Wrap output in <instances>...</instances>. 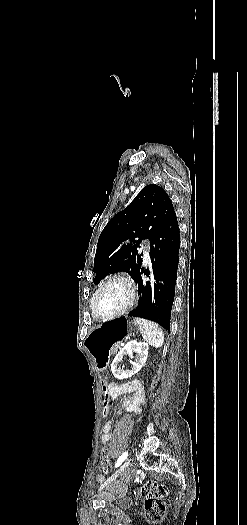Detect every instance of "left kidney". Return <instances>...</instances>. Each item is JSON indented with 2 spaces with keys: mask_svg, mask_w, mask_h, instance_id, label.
Listing matches in <instances>:
<instances>
[{
  "mask_svg": "<svg viewBox=\"0 0 247 525\" xmlns=\"http://www.w3.org/2000/svg\"><path fill=\"white\" fill-rule=\"evenodd\" d=\"M148 351V343H137V341H129L127 345H124L123 349H121L120 353H118L117 357H115L111 365V371L114 377H121V375H126V377H132V375H136V373H138V371L142 369L144 363H146ZM133 353H137L139 359L138 361H135V363L131 361L133 365L131 371H126V373H124V371H120V369H117L116 363L122 361L123 355H130V357H132Z\"/></svg>",
  "mask_w": 247,
  "mask_h": 525,
  "instance_id": "obj_1",
  "label": "left kidney"
}]
</instances>
